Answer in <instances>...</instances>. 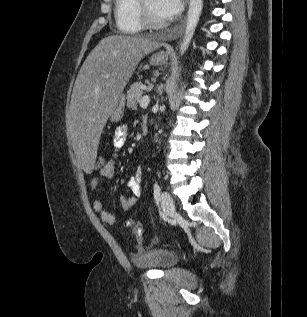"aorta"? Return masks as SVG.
I'll use <instances>...</instances> for the list:
<instances>
[{
    "mask_svg": "<svg viewBox=\"0 0 307 317\" xmlns=\"http://www.w3.org/2000/svg\"><path fill=\"white\" fill-rule=\"evenodd\" d=\"M202 8H203V0H190L189 9L187 13V24H186L185 34L179 48L181 55H183L189 47V44L193 38L195 29L199 22Z\"/></svg>",
    "mask_w": 307,
    "mask_h": 317,
    "instance_id": "762f6f07",
    "label": "aorta"
}]
</instances>
